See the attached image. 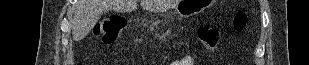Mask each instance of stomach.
<instances>
[{"mask_svg":"<svg viewBox=\"0 0 309 65\" xmlns=\"http://www.w3.org/2000/svg\"><path fill=\"white\" fill-rule=\"evenodd\" d=\"M212 4L210 0H182L175 8L180 17L199 14Z\"/></svg>","mask_w":309,"mask_h":65,"instance_id":"0dacf381","label":"stomach"}]
</instances>
